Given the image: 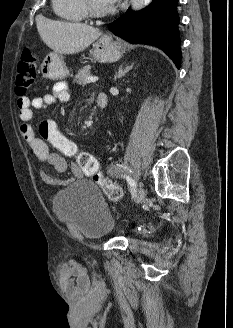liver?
<instances>
[{"label":"liver","mask_w":233,"mask_h":328,"mask_svg":"<svg viewBox=\"0 0 233 328\" xmlns=\"http://www.w3.org/2000/svg\"><path fill=\"white\" fill-rule=\"evenodd\" d=\"M36 23L43 42L59 54L79 53L101 35L99 29L83 23L53 21L42 16Z\"/></svg>","instance_id":"6515ba94"}]
</instances>
